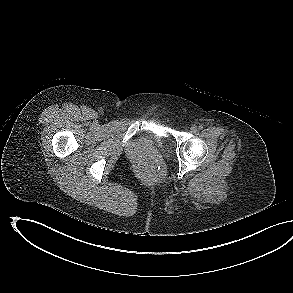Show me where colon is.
I'll return each mask as SVG.
<instances>
[{
    "instance_id": "5ec220e1",
    "label": "colon",
    "mask_w": 293,
    "mask_h": 293,
    "mask_svg": "<svg viewBox=\"0 0 293 293\" xmlns=\"http://www.w3.org/2000/svg\"><path fill=\"white\" fill-rule=\"evenodd\" d=\"M148 174H149V175H152V174H153L152 169L148 170Z\"/></svg>"
}]
</instances>
